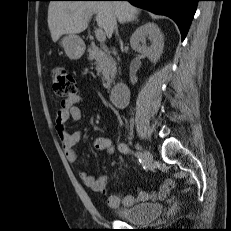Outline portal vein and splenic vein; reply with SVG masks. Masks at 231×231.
Returning <instances> with one entry per match:
<instances>
[{
    "instance_id": "18ae733b",
    "label": "portal vein and splenic vein",
    "mask_w": 231,
    "mask_h": 231,
    "mask_svg": "<svg viewBox=\"0 0 231 231\" xmlns=\"http://www.w3.org/2000/svg\"><path fill=\"white\" fill-rule=\"evenodd\" d=\"M96 38L99 42H104L106 39L105 33L102 29H96L95 31Z\"/></svg>"
}]
</instances>
